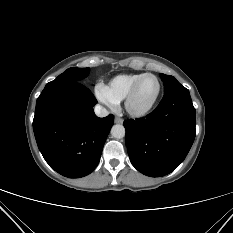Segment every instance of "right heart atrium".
<instances>
[{
    "label": "right heart atrium",
    "instance_id": "1",
    "mask_svg": "<svg viewBox=\"0 0 233 233\" xmlns=\"http://www.w3.org/2000/svg\"><path fill=\"white\" fill-rule=\"evenodd\" d=\"M94 92H95L96 98L100 102H102L108 106H111V107L116 105V101L112 98V96L110 95V93L105 85L97 84L95 86Z\"/></svg>",
    "mask_w": 233,
    "mask_h": 233
}]
</instances>
